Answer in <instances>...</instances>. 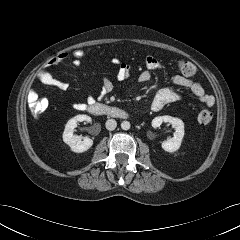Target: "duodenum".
Masks as SVG:
<instances>
[{"label":"duodenum","instance_id":"1","mask_svg":"<svg viewBox=\"0 0 240 240\" xmlns=\"http://www.w3.org/2000/svg\"><path fill=\"white\" fill-rule=\"evenodd\" d=\"M87 110L92 114L108 115L115 118H125L127 116L126 112L122 109L98 103L89 105Z\"/></svg>","mask_w":240,"mask_h":240}]
</instances>
